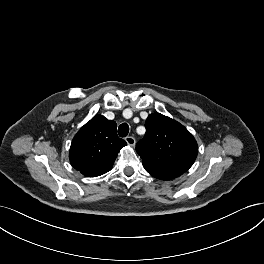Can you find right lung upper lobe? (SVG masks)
<instances>
[{
  "mask_svg": "<svg viewBox=\"0 0 264 264\" xmlns=\"http://www.w3.org/2000/svg\"><path fill=\"white\" fill-rule=\"evenodd\" d=\"M115 121L95 115L73 138L69 159L71 165L86 177L110 171L118 152L126 142L117 136Z\"/></svg>",
  "mask_w": 264,
  "mask_h": 264,
  "instance_id": "1",
  "label": "right lung upper lobe"
}]
</instances>
